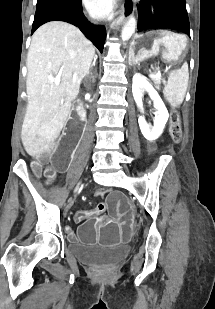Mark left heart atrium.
Returning a JSON list of instances; mask_svg holds the SVG:
<instances>
[{"label":"left heart atrium","mask_w":215,"mask_h":309,"mask_svg":"<svg viewBox=\"0 0 215 309\" xmlns=\"http://www.w3.org/2000/svg\"><path fill=\"white\" fill-rule=\"evenodd\" d=\"M89 7L92 12H114V5H107L106 0H89Z\"/></svg>","instance_id":"39dd6f15"}]
</instances>
